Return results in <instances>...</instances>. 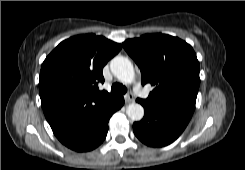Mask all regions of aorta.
Returning <instances> with one entry per match:
<instances>
[{"instance_id":"aorta-1","label":"aorta","mask_w":245,"mask_h":170,"mask_svg":"<svg viewBox=\"0 0 245 170\" xmlns=\"http://www.w3.org/2000/svg\"><path fill=\"white\" fill-rule=\"evenodd\" d=\"M110 69L113 75L124 84H131L135 78L131 61L123 56H116L111 60ZM126 114L133 121H139L144 116V108L138 103H131L126 108Z\"/></svg>"}]
</instances>
